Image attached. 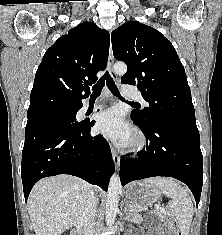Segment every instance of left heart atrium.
Masks as SVG:
<instances>
[{
  "mask_svg": "<svg viewBox=\"0 0 222 235\" xmlns=\"http://www.w3.org/2000/svg\"><path fill=\"white\" fill-rule=\"evenodd\" d=\"M96 127L101 133L120 144H127L132 139V130L117 108L102 111L97 117Z\"/></svg>",
  "mask_w": 222,
  "mask_h": 235,
  "instance_id": "obj_1",
  "label": "left heart atrium"
}]
</instances>
